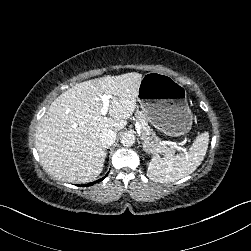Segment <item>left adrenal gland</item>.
<instances>
[{"label": "left adrenal gland", "mask_w": 251, "mask_h": 251, "mask_svg": "<svg viewBox=\"0 0 251 251\" xmlns=\"http://www.w3.org/2000/svg\"><path fill=\"white\" fill-rule=\"evenodd\" d=\"M137 142H138V147H140L141 146V141H140L139 138H137Z\"/></svg>", "instance_id": "a2214340"}]
</instances>
